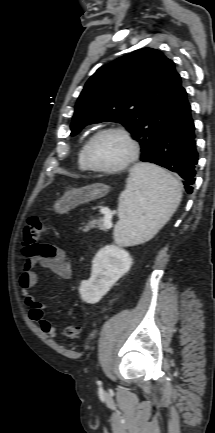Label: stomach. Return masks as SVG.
<instances>
[{"mask_svg":"<svg viewBox=\"0 0 215 433\" xmlns=\"http://www.w3.org/2000/svg\"><path fill=\"white\" fill-rule=\"evenodd\" d=\"M109 191L110 187L103 183L72 189L55 203L54 210L60 214L67 213L81 204L104 197Z\"/></svg>","mask_w":215,"mask_h":433,"instance_id":"stomach-1","label":"stomach"}]
</instances>
